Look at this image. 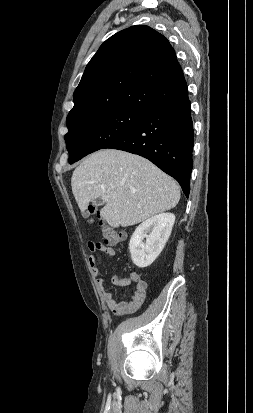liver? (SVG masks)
Instances as JSON below:
<instances>
[{"label":"liver","instance_id":"liver-1","mask_svg":"<svg viewBox=\"0 0 253 413\" xmlns=\"http://www.w3.org/2000/svg\"><path fill=\"white\" fill-rule=\"evenodd\" d=\"M71 186L83 212L90 201L103 199L100 214L114 228L143 222L174 208L180 200L173 178L141 156L114 149L97 151L83 160L72 174Z\"/></svg>","mask_w":253,"mask_h":413}]
</instances>
